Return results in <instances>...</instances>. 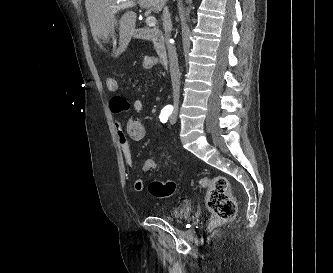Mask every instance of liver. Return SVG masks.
<instances>
[{
    "label": "liver",
    "instance_id": "6515ba94",
    "mask_svg": "<svg viewBox=\"0 0 333 273\" xmlns=\"http://www.w3.org/2000/svg\"><path fill=\"white\" fill-rule=\"evenodd\" d=\"M167 0H138L141 8H151L155 13H159L163 4ZM121 0H85V7L94 40L101 49H106L103 43L109 42V37L115 36V29H119V47L113 51V57H118L123 53L134 33L136 23V13L128 11L119 20L115 14V7Z\"/></svg>",
    "mask_w": 333,
    "mask_h": 273
}]
</instances>
